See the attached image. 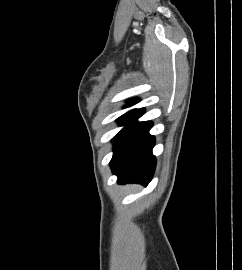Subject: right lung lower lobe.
I'll return each mask as SVG.
<instances>
[{
	"instance_id": "1",
	"label": "right lung lower lobe",
	"mask_w": 242,
	"mask_h": 270,
	"mask_svg": "<svg viewBox=\"0 0 242 270\" xmlns=\"http://www.w3.org/2000/svg\"><path fill=\"white\" fill-rule=\"evenodd\" d=\"M144 109H137L114 140V154L110 162L119 183L135 182L147 185L153 176L156 160L152 155L154 137L148 131L151 122H136Z\"/></svg>"
}]
</instances>
